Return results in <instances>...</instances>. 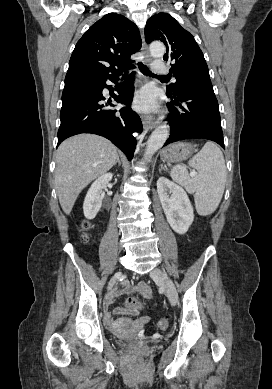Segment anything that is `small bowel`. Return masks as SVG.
Here are the masks:
<instances>
[{"mask_svg":"<svg viewBox=\"0 0 272 389\" xmlns=\"http://www.w3.org/2000/svg\"><path fill=\"white\" fill-rule=\"evenodd\" d=\"M130 293H138V294H140L141 296H143L146 299H150L151 296H152V290H151L150 286L147 283H145V282H141V283H139L137 285L123 284L122 287L117 289L110 296V298L107 300L106 308L107 309L111 308V305H112L115 297H117L118 295L130 294ZM114 311L117 312V313H120V312H123V309L116 308ZM148 320H149V318L147 316H143V317H141L139 319V322L141 324H144V323H147Z\"/></svg>","mask_w":272,"mask_h":389,"instance_id":"c3829d8e","label":"small bowel"}]
</instances>
